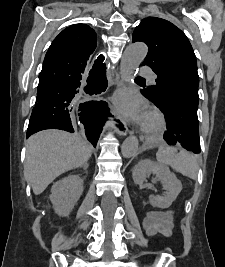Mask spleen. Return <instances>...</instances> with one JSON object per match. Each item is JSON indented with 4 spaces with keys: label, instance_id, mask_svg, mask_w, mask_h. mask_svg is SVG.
Here are the masks:
<instances>
[{
    "label": "spleen",
    "instance_id": "3e777b00",
    "mask_svg": "<svg viewBox=\"0 0 225 267\" xmlns=\"http://www.w3.org/2000/svg\"><path fill=\"white\" fill-rule=\"evenodd\" d=\"M156 159L161 165L171 166L173 170L181 173L192 180L197 179L198 162L197 159L185 150H180L169 146H160L156 153Z\"/></svg>",
    "mask_w": 225,
    "mask_h": 267
}]
</instances>
